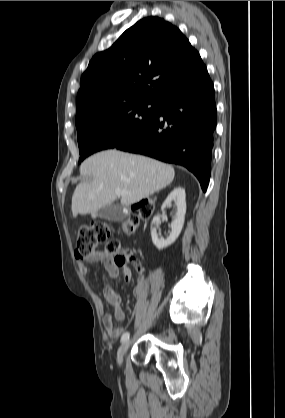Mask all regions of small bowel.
I'll list each match as a JSON object with an SVG mask.
<instances>
[{"instance_id": "1", "label": "small bowel", "mask_w": 285, "mask_h": 418, "mask_svg": "<svg viewBox=\"0 0 285 418\" xmlns=\"http://www.w3.org/2000/svg\"><path fill=\"white\" fill-rule=\"evenodd\" d=\"M98 263H101L112 277H118L121 274L125 282H131L133 278V272L130 266L119 264L117 260L114 259V257L107 251H99L93 255L91 259L87 261V263H79L78 269L82 275L86 276L88 274L87 264ZM141 292V284L137 283L134 290L135 296L139 297ZM104 297L106 301L112 306L113 314H105L102 318V323L108 336L113 339H117L122 335L123 329L121 327L115 326L113 317H115L118 321L125 320V313L121 306V296L113 288H106L104 290Z\"/></svg>"}]
</instances>
